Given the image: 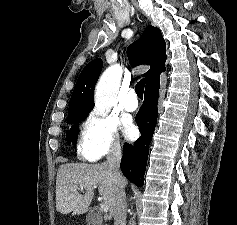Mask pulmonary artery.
<instances>
[{
  "instance_id": "1",
  "label": "pulmonary artery",
  "mask_w": 237,
  "mask_h": 225,
  "mask_svg": "<svg viewBox=\"0 0 237 225\" xmlns=\"http://www.w3.org/2000/svg\"><path fill=\"white\" fill-rule=\"evenodd\" d=\"M123 107L126 111L134 112L138 109V100L134 90H129L123 102Z\"/></svg>"
}]
</instances>
